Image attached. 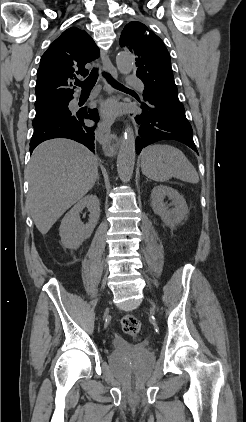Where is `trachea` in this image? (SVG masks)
<instances>
[{"mask_svg": "<svg viewBox=\"0 0 246 422\" xmlns=\"http://www.w3.org/2000/svg\"><path fill=\"white\" fill-rule=\"evenodd\" d=\"M103 75L113 87H116V88L123 87V85L115 81L109 73L104 72ZM97 78H98V69L94 68L92 69L90 75L84 81H77L75 82V85L80 86L82 90H90L94 87L97 81Z\"/></svg>", "mask_w": 246, "mask_h": 422, "instance_id": "trachea-1", "label": "trachea"}]
</instances>
